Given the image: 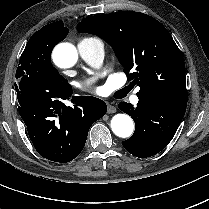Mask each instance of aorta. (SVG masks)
<instances>
[{"mask_svg":"<svg viewBox=\"0 0 209 209\" xmlns=\"http://www.w3.org/2000/svg\"><path fill=\"white\" fill-rule=\"evenodd\" d=\"M78 59L76 48L70 43H61L53 51L54 63L60 68H69L75 65ZM113 133L121 138L130 137L134 131V123L127 114H116L110 124Z\"/></svg>","mask_w":209,"mask_h":209,"instance_id":"obj_1","label":"aorta"}]
</instances>
